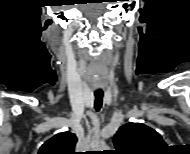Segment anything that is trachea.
Segmentation results:
<instances>
[{
  "label": "trachea",
  "mask_w": 190,
  "mask_h": 154,
  "mask_svg": "<svg viewBox=\"0 0 190 154\" xmlns=\"http://www.w3.org/2000/svg\"><path fill=\"white\" fill-rule=\"evenodd\" d=\"M95 95V102H94V107L96 109V111H99L102 107V103H103V91H95L94 93Z\"/></svg>",
  "instance_id": "trachea-1"
}]
</instances>
